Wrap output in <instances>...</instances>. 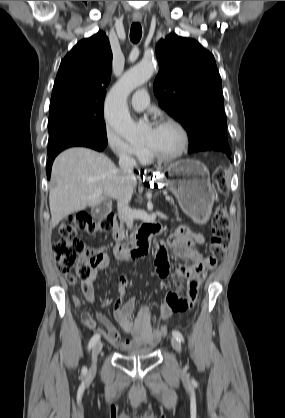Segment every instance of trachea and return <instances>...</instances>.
<instances>
[{
	"instance_id": "obj_1",
	"label": "trachea",
	"mask_w": 285,
	"mask_h": 418,
	"mask_svg": "<svg viewBox=\"0 0 285 418\" xmlns=\"http://www.w3.org/2000/svg\"><path fill=\"white\" fill-rule=\"evenodd\" d=\"M142 36L140 23H133L130 30V39L133 43H138Z\"/></svg>"
}]
</instances>
